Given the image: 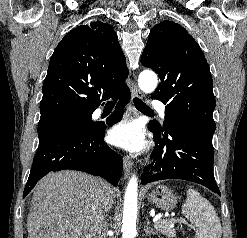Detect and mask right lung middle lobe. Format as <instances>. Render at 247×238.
<instances>
[{
    "instance_id": "1",
    "label": "right lung middle lobe",
    "mask_w": 247,
    "mask_h": 238,
    "mask_svg": "<svg viewBox=\"0 0 247 238\" xmlns=\"http://www.w3.org/2000/svg\"><path fill=\"white\" fill-rule=\"evenodd\" d=\"M92 112L80 114L62 115L47 120L39 121L38 136L39 143L51 138L55 135L71 131L84 130L94 126V121L91 119Z\"/></svg>"
}]
</instances>
